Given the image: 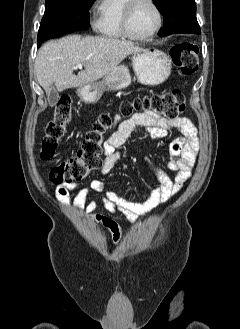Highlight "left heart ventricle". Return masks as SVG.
<instances>
[{"mask_svg": "<svg viewBox=\"0 0 240 329\" xmlns=\"http://www.w3.org/2000/svg\"><path fill=\"white\" fill-rule=\"evenodd\" d=\"M157 25V14L154 8L147 2L137 3L132 11L130 27L137 35L151 33Z\"/></svg>", "mask_w": 240, "mask_h": 329, "instance_id": "b2bd125f", "label": "left heart ventricle"}]
</instances>
